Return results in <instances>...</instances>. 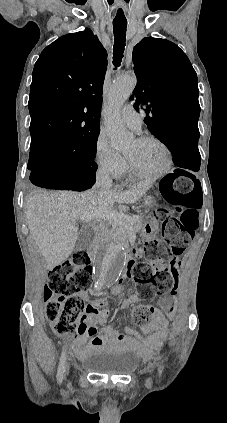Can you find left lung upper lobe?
<instances>
[{"label": "left lung upper lobe", "instance_id": "1", "mask_svg": "<svg viewBox=\"0 0 227 423\" xmlns=\"http://www.w3.org/2000/svg\"><path fill=\"white\" fill-rule=\"evenodd\" d=\"M132 56L137 85L130 98H136L137 110L146 106L144 121L151 133L164 140L198 132L197 75L186 54L166 39L147 37Z\"/></svg>", "mask_w": 227, "mask_h": 423}]
</instances>
